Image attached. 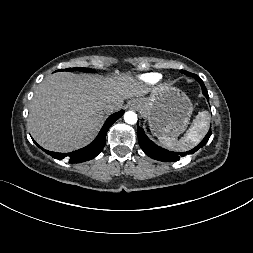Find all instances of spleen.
Segmentation results:
<instances>
[{
  "label": "spleen",
  "mask_w": 253,
  "mask_h": 253,
  "mask_svg": "<svg viewBox=\"0 0 253 253\" xmlns=\"http://www.w3.org/2000/svg\"><path fill=\"white\" fill-rule=\"evenodd\" d=\"M210 115L207 111L199 112L192 125L180 140L158 136L160 144L170 150L183 152L194 148L206 135Z\"/></svg>",
  "instance_id": "3e777b00"
}]
</instances>
